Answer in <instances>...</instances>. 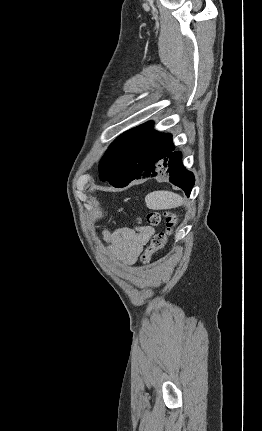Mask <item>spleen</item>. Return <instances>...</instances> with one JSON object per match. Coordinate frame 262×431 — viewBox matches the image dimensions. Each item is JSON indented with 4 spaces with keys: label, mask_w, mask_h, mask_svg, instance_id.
Returning a JSON list of instances; mask_svg holds the SVG:
<instances>
[{
    "label": "spleen",
    "mask_w": 262,
    "mask_h": 431,
    "mask_svg": "<svg viewBox=\"0 0 262 431\" xmlns=\"http://www.w3.org/2000/svg\"><path fill=\"white\" fill-rule=\"evenodd\" d=\"M145 202L149 209L163 210L181 206L183 198L174 192L159 190L146 195Z\"/></svg>",
    "instance_id": "3e777b00"
}]
</instances>
